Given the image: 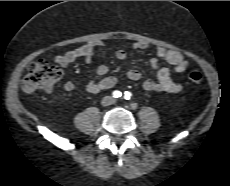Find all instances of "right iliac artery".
Instances as JSON below:
<instances>
[{
	"label": "right iliac artery",
	"instance_id": "82829eb1",
	"mask_svg": "<svg viewBox=\"0 0 230 186\" xmlns=\"http://www.w3.org/2000/svg\"><path fill=\"white\" fill-rule=\"evenodd\" d=\"M113 97L114 98H119L121 97L122 93L118 90H115L113 93H112Z\"/></svg>",
	"mask_w": 230,
	"mask_h": 186
}]
</instances>
